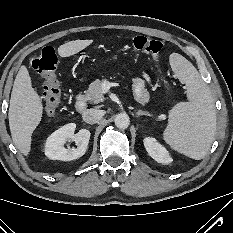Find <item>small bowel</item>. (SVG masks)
<instances>
[{
  "instance_id": "small-bowel-1",
  "label": "small bowel",
  "mask_w": 233,
  "mask_h": 233,
  "mask_svg": "<svg viewBox=\"0 0 233 233\" xmlns=\"http://www.w3.org/2000/svg\"><path fill=\"white\" fill-rule=\"evenodd\" d=\"M143 78L147 81V82H150V77H149V75L148 74H146V73H144L143 74Z\"/></svg>"
}]
</instances>
